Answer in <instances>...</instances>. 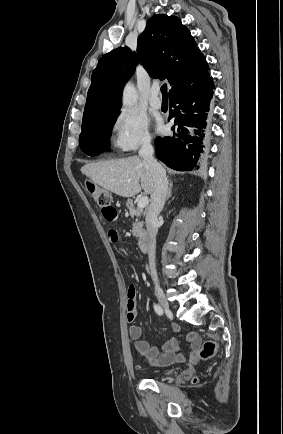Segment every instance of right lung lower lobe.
<instances>
[{
  "label": "right lung lower lobe",
  "instance_id": "obj_1",
  "mask_svg": "<svg viewBox=\"0 0 283 434\" xmlns=\"http://www.w3.org/2000/svg\"><path fill=\"white\" fill-rule=\"evenodd\" d=\"M214 84L209 77L203 84L169 98V120L174 119L173 135L155 139L156 157L168 167L188 171L203 158L209 136V105Z\"/></svg>",
  "mask_w": 283,
  "mask_h": 434
}]
</instances>
